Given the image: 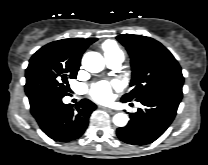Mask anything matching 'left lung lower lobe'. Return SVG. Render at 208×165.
<instances>
[{
  "instance_id": "left-lung-lower-lobe-1",
  "label": "left lung lower lobe",
  "mask_w": 208,
  "mask_h": 165,
  "mask_svg": "<svg viewBox=\"0 0 208 165\" xmlns=\"http://www.w3.org/2000/svg\"><path fill=\"white\" fill-rule=\"evenodd\" d=\"M182 93L160 92L153 94L140 103L144 106L131 113V120L117 129V136L132 145H147L158 139L172 123Z\"/></svg>"
}]
</instances>
